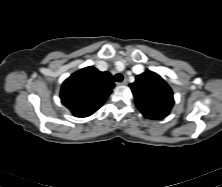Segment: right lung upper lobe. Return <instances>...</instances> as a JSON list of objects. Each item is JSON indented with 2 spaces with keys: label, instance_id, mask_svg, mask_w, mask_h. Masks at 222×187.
<instances>
[{
  "label": "right lung upper lobe",
  "instance_id": "right-lung-upper-lobe-1",
  "mask_svg": "<svg viewBox=\"0 0 222 187\" xmlns=\"http://www.w3.org/2000/svg\"><path fill=\"white\" fill-rule=\"evenodd\" d=\"M109 72H101L93 66L83 68L62 84V103L76 117H87L97 111L114 88Z\"/></svg>",
  "mask_w": 222,
  "mask_h": 187
}]
</instances>
